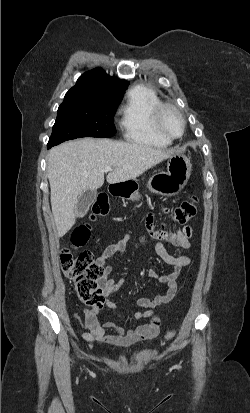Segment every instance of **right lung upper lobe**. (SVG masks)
Returning <instances> with one entry per match:
<instances>
[{"instance_id": "cb5924a9", "label": "right lung upper lobe", "mask_w": 250, "mask_h": 413, "mask_svg": "<svg viewBox=\"0 0 250 413\" xmlns=\"http://www.w3.org/2000/svg\"><path fill=\"white\" fill-rule=\"evenodd\" d=\"M127 86L126 80L110 77L102 68H96L84 73L71 89L123 96Z\"/></svg>"}]
</instances>
